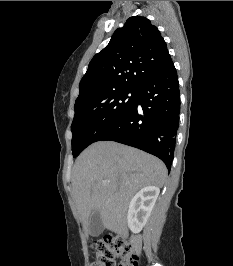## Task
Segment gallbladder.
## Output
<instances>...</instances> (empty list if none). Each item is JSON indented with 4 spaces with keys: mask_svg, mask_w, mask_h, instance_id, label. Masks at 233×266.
Listing matches in <instances>:
<instances>
[{
    "mask_svg": "<svg viewBox=\"0 0 233 266\" xmlns=\"http://www.w3.org/2000/svg\"><path fill=\"white\" fill-rule=\"evenodd\" d=\"M89 233L92 236H99L104 231V225L99 212H94L89 219Z\"/></svg>",
    "mask_w": 233,
    "mask_h": 266,
    "instance_id": "1",
    "label": "gallbladder"
}]
</instances>
